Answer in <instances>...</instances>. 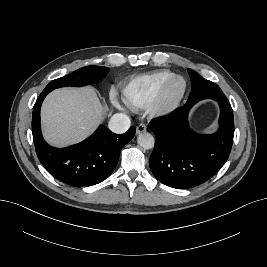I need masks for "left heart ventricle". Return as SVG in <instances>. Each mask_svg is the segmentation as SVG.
Segmentation results:
<instances>
[{"label": "left heart ventricle", "instance_id": "obj_1", "mask_svg": "<svg viewBox=\"0 0 267 267\" xmlns=\"http://www.w3.org/2000/svg\"><path fill=\"white\" fill-rule=\"evenodd\" d=\"M182 89L183 82L181 80L174 81L167 92V98L170 100L176 98L181 93Z\"/></svg>", "mask_w": 267, "mask_h": 267}]
</instances>
